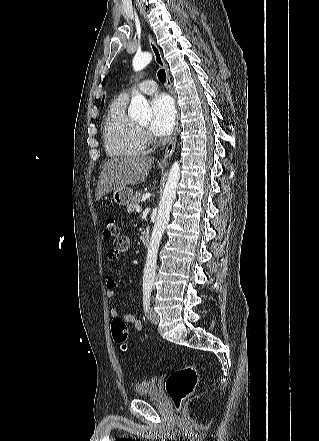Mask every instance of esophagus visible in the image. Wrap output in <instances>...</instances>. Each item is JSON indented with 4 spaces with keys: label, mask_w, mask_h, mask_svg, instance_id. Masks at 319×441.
<instances>
[{
    "label": "esophagus",
    "mask_w": 319,
    "mask_h": 441,
    "mask_svg": "<svg viewBox=\"0 0 319 441\" xmlns=\"http://www.w3.org/2000/svg\"><path fill=\"white\" fill-rule=\"evenodd\" d=\"M148 41H149V45L151 48V51L153 53L155 62L157 63V65L161 68H163L166 72V85L169 89L170 94L173 96L175 102H176V95L174 93V90L172 88V83H171V78H170V74L168 71V68L163 60V57L161 55V52L158 48V46L156 45L155 41L153 40V38L148 35ZM177 108V114H176V120H175V127H174V133L173 136L165 150V154L164 157L162 158V163H166L168 161V159H170V157L172 156L175 146H176V141H177V134H178V128H179V111H178V107L176 105Z\"/></svg>",
    "instance_id": "esophagus-1"
}]
</instances>
